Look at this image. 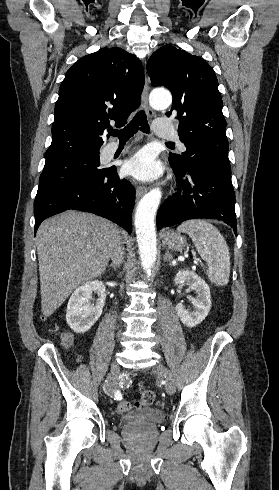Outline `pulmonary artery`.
<instances>
[{"label":"pulmonary artery","mask_w":279,"mask_h":490,"mask_svg":"<svg viewBox=\"0 0 279 490\" xmlns=\"http://www.w3.org/2000/svg\"><path fill=\"white\" fill-rule=\"evenodd\" d=\"M152 128L156 133L158 134L159 140H174L176 137V134L174 131H172V124L171 122H168L167 117H157L156 122L153 123ZM120 144H125V139H120ZM129 144H134V139H129ZM181 149H185V145L183 143L179 144ZM107 149L110 151V154H113L117 150L116 145H109Z\"/></svg>","instance_id":"e3ab8cb5"}]
</instances>
